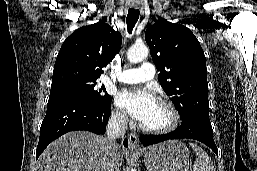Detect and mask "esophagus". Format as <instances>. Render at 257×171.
Wrapping results in <instances>:
<instances>
[{"mask_svg": "<svg viewBox=\"0 0 257 171\" xmlns=\"http://www.w3.org/2000/svg\"><path fill=\"white\" fill-rule=\"evenodd\" d=\"M132 6L134 8H137L139 6V3L138 2H133ZM128 141H129V148L132 151H138L139 150V148H140L139 138H138V136L135 133H129Z\"/></svg>", "mask_w": 257, "mask_h": 171, "instance_id": "1", "label": "esophagus"}]
</instances>
